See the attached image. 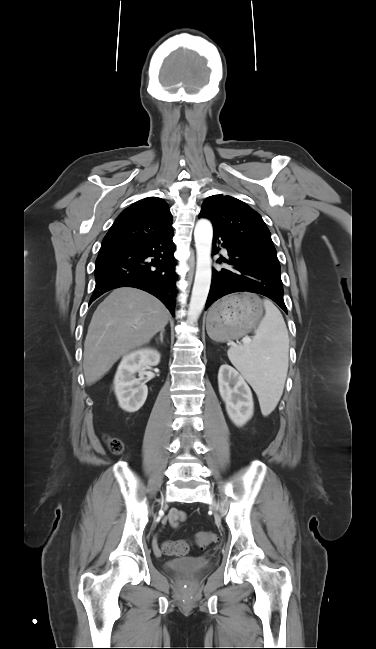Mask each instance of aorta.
<instances>
[{
    "mask_svg": "<svg viewBox=\"0 0 376 649\" xmlns=\"http://www.w3.org/2000/svg\"><path fill=\"white\" fill-rule=\"evenodd\" d=\"M213 228L207 219H200L195 226L194 239L197 254L196 274L189 304V320L197 321L200 316L211 284V247Z\"/></svg>",
    "mask_w": 376,
    "mask_h": 649,
    "instance_id": "1",
    "label": "aorta"
}]
</instances>
